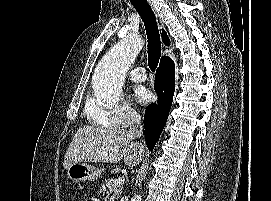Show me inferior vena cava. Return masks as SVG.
Wrapping results in <instances>:
<instances>
[{
    "label": "inferior vena cava",
    "mask_w": 271,
    "mask_h": 201,
    "mask_svg": "<svg viewBox=\"0 0 271 201\" xmlns=\"http://www.w3.org/2000/svg\"><path fill=\"white\" fill-rule=\"evenodd\" d=\"M128 133L132 138H139L143 134V127L141 125V116L137 112H132L130 115Z\"/></svg>",
    "instance_id": "602c4592"
}]
</instances>
